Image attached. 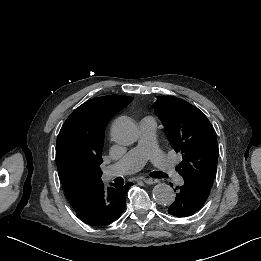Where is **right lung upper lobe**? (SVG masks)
<instances>
[{
	"mask_svg": "<svg viewBox=\"0 0 261 261\" xmlns=\"http://www.w3.org/2000/svg\"><path fill=\"white\" fill-rule=\"evenodd\" d=\"M132 100L133 98L128 96L108 95L88 100L76 108L63 124L57 138L58 172L61 171L67 156L71 153L102 159L104 132L109 120ZM64 191L70 204H73L91 190L84 192Z\"/></svg>",
	"mask_w": 261,
	"mask_h": 261,
	"instance_id": "cb5924a9",
	"label": "right lung upper lobe"
}]
</instances>
